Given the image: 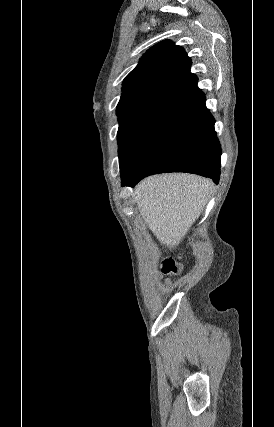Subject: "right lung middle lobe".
I'll return each instance as SVG.
<instances>
[{"label": "right lung middle lobe", "mask_w": 274, "mask_h": 427, "mask_svg": "<svg viewBox=\"0 0 274 427\" xmlns=\"http://www.w3.org/2000/svg\"><path fill=\"white\" fill-rule=\"evenodd\" d=\"M173 107L160 98H151L117 108L120 166L130 167L137 161Z\"/></svg>", "instance_id": "dd1d6c3e"}]
</instances>
